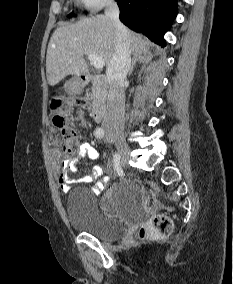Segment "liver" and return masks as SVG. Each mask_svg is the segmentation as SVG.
Listing matches in <instances>:
<instances>
[{
    "mask_svg": "<svg viewBox=\"0 0 233 284\" xmlns=\"http://www.w3.org/2000/svg\"><path fill=\"white\" fill-rule=\"evenodd\" d=\"M128 32L134 56L145 54L149 41L131 31ZM115 46V26L105 15L84 18L75 24L57 28L50 38L46 55L49 85L55 86L68 75L87 74L85 55L95 54L108 66L115 54Z\"/></svg>",
    "mask_w": 233,
    "mask_h": 284,
    "instance_id": "liver-1",
    "label": "liver"
}]
</instances>
